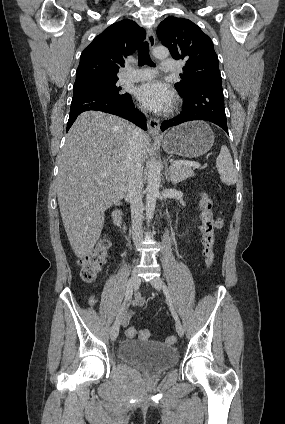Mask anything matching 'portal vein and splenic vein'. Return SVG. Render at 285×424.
I'll use <instances>...</instances> for the list:
<instances>
[{
	"label": "portal vein and splenic vein",
	"mask_w": 285,
	"mask_h": 424,
	"mask_svg": "<svg viewBox=\"0 0 285 424\" xmlns=\"http://www.w3.org/2000/svg\"><path fill=\"white\" fill-rule=\"evenodd\" d=\"M179 164H186V165L192 166L194 168H199L200 167V164L199 163H196V162H186V161H173L171 163V167H174V166L179 165ZM102 176L104 177V176H106V174H102Z\"/></svg>",
	"instance_id": "18ae733b"
}]
</instances>
